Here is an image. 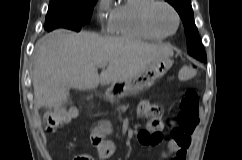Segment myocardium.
<instances>
[{"mask_svg": "<svg viewBox=\"0 0 242 160\" xmlns=\"http://www.w3.org/2000/svg\"><path fill=\"white\" fill-rule=\"evenodd\" d=\"M158 6H165L167 8H169L175 18H176V28L173 32L170 33H166L161 31L154 23L153 21V13L154 10L158 7ZM142 21L144 26L153 34L160 36L162 38H167L170 36H173L177 33V31L180 28V24H181V17L180 14L178 12V10L168 1L166 0H152L143 10L142 12Z\"/></svg>", "mask_w": 242, "mask_h": 160, "instance_id": "f54148a6", "label": "myocardium"}]
</instances>
